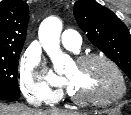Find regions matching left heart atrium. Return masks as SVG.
<instances>
[{
  "label": "left heart atrium",
  "mask_w": 131,
  "mask_h": 115,
  "mask_svg": "<svg viewBox=\"0 0 131 115\" xmlns=\"http://www.w3.org/2000/svg\"><path fill=\"white\" fill-rule=\"evenodd\" d=\"M61 84H67L66 81H59Z\"/></svg>",
  "instance_id": "left-heart-atrium-1"
}]
</instances>
